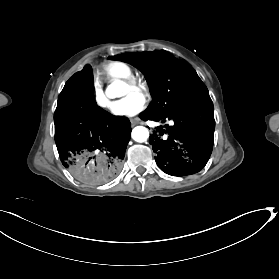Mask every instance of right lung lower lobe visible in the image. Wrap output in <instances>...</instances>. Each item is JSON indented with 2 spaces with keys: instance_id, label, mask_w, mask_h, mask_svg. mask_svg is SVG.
<instances>
[{
  "instance_id": "1",
  "label": "right lung lower lobe",
  "mask_w": 279,
  "mask_h": 279,
  "mask_svg": "<svg viewBox=\"0 0 279 279\" xmlns=\"http://www.w3.org/2000/svg\"><path fill=\"white\" fill-rule=\"evenodd\" d=\"M92 88L89 64L66 82L54 114L55 142L63 166L76 179L101 185L121 171L131 124L100 108Z\"/></svg>"
}]
</instances>
